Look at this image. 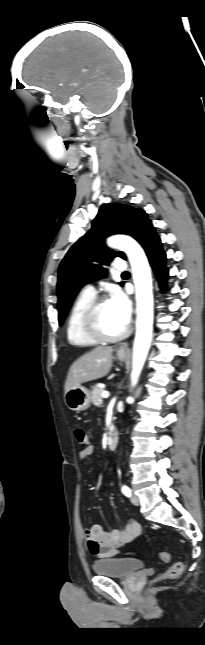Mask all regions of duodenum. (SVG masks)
<instances>
[{
    "instance_id": "obj_1",
    "label": "duodenum",
    "mask_w": 205,
    "mask_h": 645,
    "mask_svg": "<svg viewBox=\"0 0 205 645\" xmlns=\"http://www.w3.org/2000/svg\"><path fill=\"white\" fill-rule=\"evenodd\" d=\"M118 442V433L113 430L109 433L107 438V447L109 450H114Z\"/></svg>"
}]
</instances>
